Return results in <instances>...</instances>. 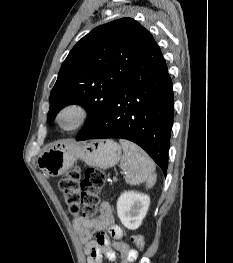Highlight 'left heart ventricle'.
Segmentation results:
<instances>
[{
	"label": "left heart ventricle",
	"mask_w": 233,
	"mask_h": 263,
	"mask_svg": "<svg viewBox=\"0 0 233 263\" xmlns=\"http://www.w3.org/2000/svg\"><path fill=\"white\" fill-rule=\"evenodd\" d=\"M73 121H74V116L71 114H68V115L64 116V118H63V124L66 126L71 125L73 123Z\"/></svg>",
	"instance_id": "left-heart-ventricle-1"
}]
</instances>
